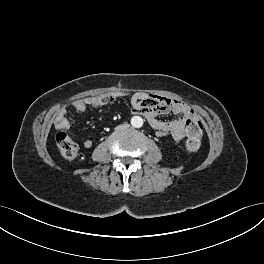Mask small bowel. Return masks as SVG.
<instances>
[{
  "label": "small bowel",
  "mask_w": 264,
  "mask_h": 264,
  "mask_svg": "<svg viewBox=\"0 0 264 264\" xmlns=\"http://www.w3.org/2000/svg\"><path fill=\"white\" fill-rule=\"evenodd\" d=\"M128 93H104L95 97H87L75 101L71 108L77 112L84 113L89 107L100 108L114 103L118 98L127 96ZM132 111L146 117L150 126L155 130L159 137L171 136L174 140H181L186 135L187 123L189 120L197 119L195 111L184 102L168 97L154 95L146 92H136L130 96ZM173 113L180 117L174 120L163 121L157 118L158 115ZM56 127L58 130L67 128V108H62L56 114ZM85 148L92 146V141L86 139L83 141Z\"/></svg>",
  "instance_id": "obj_1"
}]
</instances>
